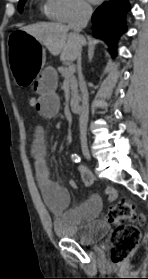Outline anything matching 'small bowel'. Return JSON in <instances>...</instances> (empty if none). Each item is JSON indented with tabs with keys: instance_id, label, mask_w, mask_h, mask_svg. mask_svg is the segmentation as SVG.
Instances as JSON below:
<instances>
[{
	"instance_id": "c3829d8e",
	"label": "small bowel",
	"mask_w": 148,
	"mask_h": 279,
	"mask_svg": "<svg viewBox=\"0 0 148 279\" xmlns=\"http://www.w3.org/2000/svg\"><path fill=\"white\" fill-rule=\"evenodd\" d=\"M57 82L58 75L56 70L52 67H46L41 70L34 83V90L38 94L36 110L43 117L51 118L60 109V101L56 92ZM31 156L44 200L52 211L57 213L65 212L66 218L74 224L91 220L100 213L102 204L97 195H93L77 207L67 210L70 201L69 194L64 187L52 179L45 134L41 127L35 130ZM79 169L85 184L89 185L92 182L91 173L83 166H80ZM70 186L75 187L76 183L70 181ZM106 194L110 201H114L117 198V192L113 188H107Z\"/></svg>"
}]
</instances>
